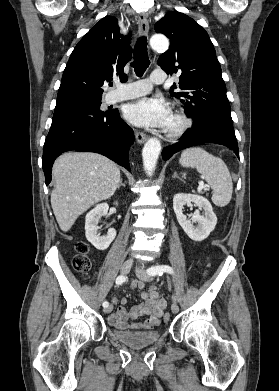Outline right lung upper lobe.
Returning <instances> with one entry per match:
<instances>
[{"label": "right lung upper lobe", "instance_id": "1", "mask_svg": "<svg viewBox=\"0 0 279 391\" xmlns=\"http://www.w3.org/2000/svg\"><path fill=\"white\" fill-rule=\"evenodd\" d=\"M130 35L120 34L115 17L101 19L76 45L64 70L56 109L102 98L104 82L117 75L127 79L123 68L130 60Z\"/></svg>", "mask_w": 279, "mask_h": 391}]
</instances>
